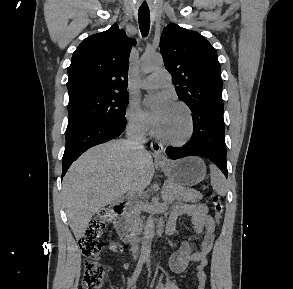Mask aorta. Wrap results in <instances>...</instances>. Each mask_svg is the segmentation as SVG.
<instances>
[{
    "instance_id": "1",
    "label": "aorta",
    "mask_w": 293,
    "mask_h": 289,
    "mask_svg": "<svg viewBox=\"0 0 293 289\" xmlns=\"http://www.w3.org/2000/svg\"><path fill=\"white\" fill-rule=\"evenodd\" d=\"M163 64L162 58L158 55H144L141 61V68L144 72H151L159 69ZM154 207L150 209V215L147 218L142 239V254L149 256L151 251L152 239L154 236Z\"/></svg>"
}]
</instances>
